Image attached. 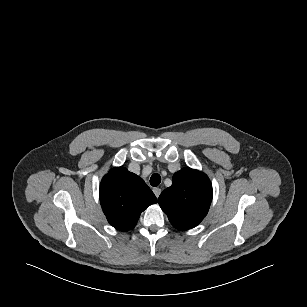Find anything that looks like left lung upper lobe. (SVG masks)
Segmentation results:
<instances>
[{
    "label": "left lung upper lobe",
    "instance_id": "5c2ea615",
    "mask_svg": "<svg viewBox=\"0 0 307 307\" xmlns=\"http://www.w3.org/2000/svg\"><path fill=\"white\" fill-rule=\"evenodd\" d=\"M212 194V185L206 174L183 168L173 175L172 185L161 193L158 203L175 228L188 230L196 227L207 215Z\"/></svg>",
    "mask_w": 307,
    "mask_h": 307
}]
</instances>
